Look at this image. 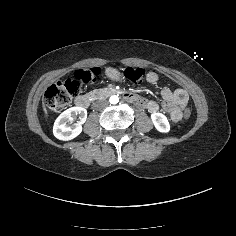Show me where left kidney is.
<instances>
[{
  "label": "left kidney",
  "instance_id": "5707ae66",
  "mask_svg": "<svg viewBox=\"0 0 236 236\" xmlns=\"http://www.w3.org/2000/svg\"><path fill=\"white\" fill-rule=\"evenodd\" d=\"M152 123L155 129L161 133H169L170 132V123L167 117L160 112H153L150 115Z\"/></svg>",
  "mask_w": 236,
  "mask_h": 236
}]
</instances>
